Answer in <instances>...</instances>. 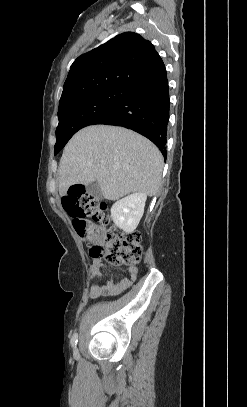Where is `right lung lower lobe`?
<instances>
[{"label":"right lung lower lobe","mask_w":247,"mask_h":407,"mask_svg":"<svg viewBox=\"0 0 247 407\" xmlns=\"http://www.w3.org/2000/svg\"><path fill=\"white\" fill-rule=\"evenodd\" d=\"M169 87L165 68L139 83L116 107L94 124L123 126L151 140L166 159Z\"/></svg>","instance_id":"98d812e1"}]
</instances>
